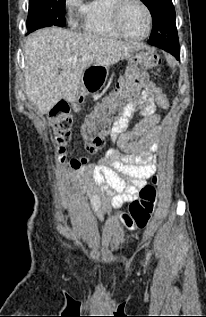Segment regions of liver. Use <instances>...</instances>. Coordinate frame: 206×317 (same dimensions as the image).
<instances>
[{
    "mask_svg": "<svg viewBox=\"0 0 206 317\" xmlns=\"http://www.w3.org/2000/svg\"><path fill=\"white\" fill-rule=\"evenodd\" d=\"M142 48L140 44L58 27L37 30L24 45L28 100L41 114L48 113L61 99L76 102L85 91L81 80L85 69L93 64L109 67ZM71 57L77 60L70 61Z\"/></svg>",
    "mask_w": 206,
    "mask_h": 317,
    "instance_id": "1",
    "label": "liver"
}]
</instances>
